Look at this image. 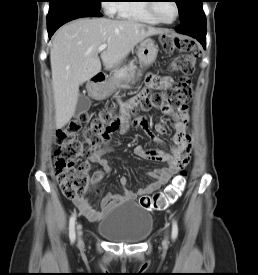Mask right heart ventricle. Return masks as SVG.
Returning <instances> with one entry per match:
<instances>
[{"label": "right heart ventricle", "mask_w": 258, "mask_h": 275, "mask_svg": "<svg viewBox=\"0 0 258 275\" xmlns=\"http://www.w3.org/2000/svg\"><path fill=\"white\" fill-rule=\"evenodd\" d=\"M114 4V11L120 17L156 25L159 22L154 19L147 8L148 0H123Z\"/></svg>", "instance_id": "e07e8e85"}]
</instances>
